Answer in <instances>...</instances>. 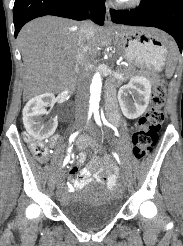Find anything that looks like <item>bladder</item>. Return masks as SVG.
<instances>
[{
  "label": "bladder",
  "mask_w": 183,
  "mask_h": 246,
  "mask_svg": "<svg viewBox=\"0 0 183 246\" xmlns=\"http://www.w3.org/2000/svg\"><path fill=\"white\" fill-rule=\"evenodd\" d=\"M120 210L119 200L101 184H91L81 196L61 204L63 215L81 228H95L110 223Z\"/></svg>",
  "instance_id": "1"
}]
</instances>
